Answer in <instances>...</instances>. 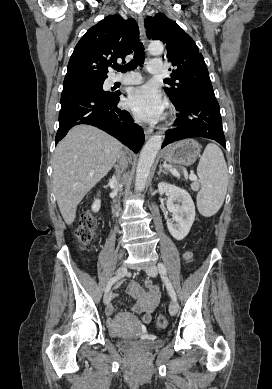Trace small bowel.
<instances>
[{"label":"small bowel","mask_w":272,"mask_h":389,"mask_svg":"<svg viewBox=\"0 0 272 389\" xmlns=\"http://www.w3.org/2000/svg\"><path fill=\"white\" fill-rule=\"evenodd\" d=\"M186 260L191 258V253L184 254ZM126 293L134 300L136 304L133 307L134 313H143L141 318L142 326L147 325L152 320V313L155 311L160 299L159 287L152 283L149 278L143 282V286L138 283L131 282L126 288ZM125 317H132L131 314H123Z\"/></svg>","instance_id":"1"}]
</instances>
